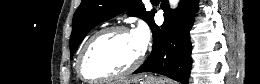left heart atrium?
Segmentation results:
<instances>
[{
	"instance_id": "obj_1",
	"label": "left heart atrium",
	"mask_w": 260,
	"mask_h": 84,
	"mask_svg": "<svg viewBox=\"0 0 260 84\" xmlns=\"http://www.w3.org/2000/svg\"><path fill=\"white\" fill-rule=\"evenodd\" d=\"M133 35L141 52L145 51L150 42V31L146 24L140 23L134 30Z\"/></svg>"
}]
</instances>
